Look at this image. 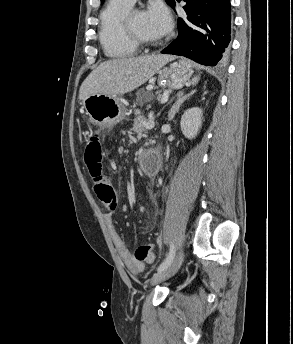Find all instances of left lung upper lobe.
<instances>
[{
  "instance_id": "left-lung-upper-lobe-1",
  "label": "left lung upper lobe",
  "mask_w": 293,
  "mask_h": 344,
  "mask_svg": "<svg viewBox=\"0 0 293 344\" xmlns=\"http://www.w3.org/2000/svg\"><path fill=\"white\" fill-rule=\"evenodd\" d=\"M104 2V0H101V3H103ZM166 2H167V4H169L170 6H172L173 7V5H174V0H166Z\"/></svg>"
}]
</instances>
